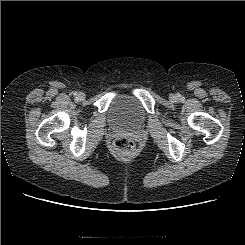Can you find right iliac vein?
<instances>
[{
  "instance_id": "1",
  "label": "right iliac vein",
  "mask_w": 245,
  "mask_h": 245,
  "mask_svg": "<svg viewBox=\"0 0 245 245\" xmlns=\"http://www.w3.org/2000/svg\"><path fill=\"white\" fill-rule=\"evenodd\" d=\"M78 98L80 100L84 99L85 98V94L83 92L78 93Z\"/></svg>"
}]
</instances>
